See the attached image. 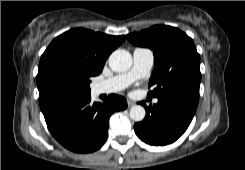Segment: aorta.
<instances>
[{
    "label": "aorta",
    "mask_w": 245,
    "mask_h": 170,
    "mask_svg": "<svg viewBox=\"0 0 245 170\" xmlns=\"http://www.w3.org/2000/svg\"><path fill=\"white\" fill-rule=\"evenodd\" d=\"M109 66L115 72L128 71L132 66V56L124 49H117L109 57ZM146 111L141 105H134L130 109V118L140 122L145 118Z\"/></svg>",
    "instance_id": "obj_1"
}]
</instances>
